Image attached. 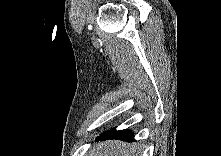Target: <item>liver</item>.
Segmentation results:
<instances>
[{"instance_id": "6515ba94", "label": "liver", "mask_w": 221, "mask_h": 156, "mask_svg": "<svg viewBox=\"0 0 221 156\" xmlns=\"http://www.w3.org/2000/svg\"><path fill=\"white\" fill-rule=\"evenodd\" d=\"M139 151L136 145L118 140H108L98 143L89 156H138Z\"/></svg>"}]
</instances>
